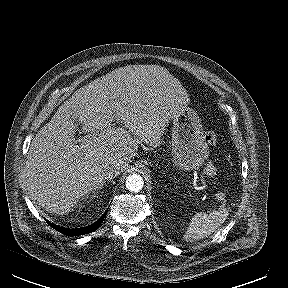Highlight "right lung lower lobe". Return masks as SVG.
I'll return each mask as SVG.
<instances>
[{
	"instance_id": "right-lung-lower-lobe-1",
	"label": "right lung lower lobe",
	"mask_w": 288,
	"mask_h": 288,
	"mask_svg": "<svg viewBox=\"0 0 288 288\" xmlns=\"http://www.w3.org/2000/svg\"><path fill=\"white\" fill-rule=\"evenodd\" d=\"M106 213H107V211L95 223H93L87 227L68 229V228L60 227V226H57V225L51 224V223H49V225L52 226L55 230L65 234L67 236L84 235V234H88V233H91V232H94L95 230H97L99 225L104 220Z\"/></svg>"
}]
</instances>
